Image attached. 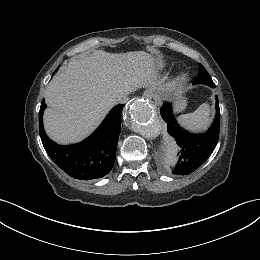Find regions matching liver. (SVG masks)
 Returning <instances> with one entry per match:
<instances>
[{"label":"liver","instance_id":"6515ba94","mask_svg":"<svg viewBox=\"0 0 260 260\" xmlns=\"http://www.w3.org/2000/svg\"><path fill=\"white\" fill-rule=\"evenodd\" d=\"M160 63L144 51L108 53L97 50L72 58L51 80L43 122L59 144L87 137L113 107L112 99L141 87L156 88Z\"/></svg>","mask_w":260,"mask_h":260}]
</instances>
